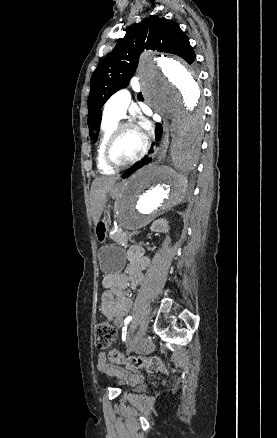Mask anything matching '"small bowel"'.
Returning <instances> with one entry per match:
<instances>
[{
  "label": "small bowel",
  "mask_w": 277,
  "mask_h": 438,
  "mask_svg": "<svg viewBox=\"0 0 277 438\" xmlns=\"http://www.w3.org/2000/svg\"><path fill=\"white\" fill-rule=\"evenodd\" d=\"M127 257L128 264L125 273L107 274L102 279L104 292L99 309L106 319L112 321L118 328L122 327L124 317L132 307V300L125 292L135 289L142 283L143 271L150 263L149 258L143 254L139 246H132L127 252ZM108 355L100 354L98 357L97 369L100 372L118 379L121 383H130L135 380V375L127 372L126 368H115L114 363H109Z\"/></svg>",
  "instance_id": "1"
}]
</instances>
